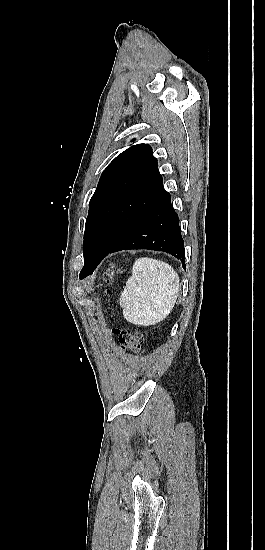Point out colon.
Listing matches in <instances>:
<instances>
[{
  "instance_id": "colon-1",
  "label": "colon",
  "mask_w": 265,
  "mask_h": 550,
  "mask_svg": "<svg viewBox=\"0 0 265 550\" xmlns=\"http://www.w3.org/2000/svg\"><path fill=\"white\" fill-rule=\"evenodd\" d=\"M116 274L117 270L113 266H110L108 271L105 273L107 282H112ZM112 331L118 338L120 349L124 352L136 351L140 349L144 341L143 334L138 330L114 327Z\"/></svg>"
}]
</instances>
